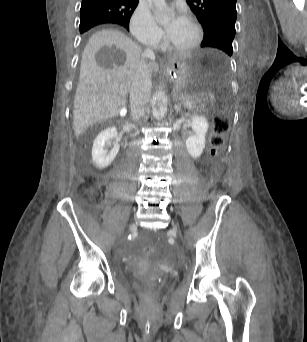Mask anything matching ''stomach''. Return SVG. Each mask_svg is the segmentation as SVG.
<instances>
[{"label": "stomach", "instance_id": "0dacf381", "mask_svg": "<svg viewBox=\"0 0 307 342\" xmlns=\"http://www.w3.org/2000/svg\"><path fill=\"white\" fill-rule=\"evenodd\" d=\"M197 66V60L193 57L175 58L167 65L166 72L174 84L177 96L185 99L197 97L194 88V73Z\"/></svg>", "mask_w": 307, "mask_h": 342}]
</instances>
